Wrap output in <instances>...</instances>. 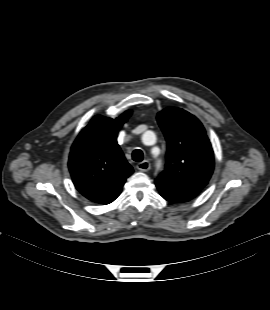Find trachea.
<instances>
[{
    "label": "trachea",
    "instance_id": "obj_1",
    "mask_svg": "<svg viewBox=\"0 0 270 310\" xmlns=\"http://www.w3.org/2000/svg\"><path fill=\"white\" fill-rule=\"evenodd\" d=\"M143 157V152L140 149H136L132 152V159L136 162H141Z\"/></svg>",
    "mask_w": 270,
    "mask_h": 310
}]
</instances>
